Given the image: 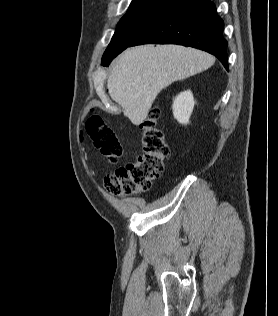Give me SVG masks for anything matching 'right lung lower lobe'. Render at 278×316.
Instances as JSON below:
<instances>
[{
    "label": "right lung lower lobe",
    "mask_w": 278,
    "mask_h": 316,
    "mask_svg": "<svg viewBox=\"0 0 278 316\" xmlns=\"http://www.w3.org/2000/svg\"><path fill=\"white\" fill-rule=\"evenodd\" d=\"M223 29L224 22L211 1L170 0L128 47L149 43L190 46L213 54L228 70L227 41L223 38ZM114 57L102 64L107 66Z\"/></svg>",
    "instance_id": "obj_1"
}]
</instances>
